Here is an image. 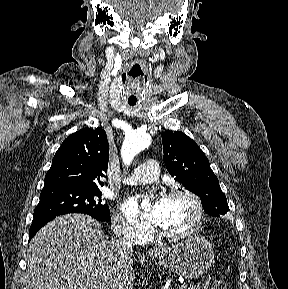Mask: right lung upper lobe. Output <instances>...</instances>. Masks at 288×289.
I'll return each instance as SVG.
<instances>
[{"label":"right lung upper lobe","instance_id":"cb5924a9","mask_svg":"<svg viewBox=\"0 0 288 289\" xmlns=\"http://www.w3.org/2000/svg\"><path fill=\"white\" fill-rule=\"evenodd\" d=\"M109 143L102 128H84L67 137L57 150L45 176L44 188H91L103 185Z\"/></svg>","mask_w":288,"mask_h":289}]
</instances>
